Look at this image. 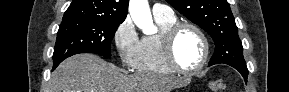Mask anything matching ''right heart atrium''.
<instances>
[{
	"label": "right heart atrium",
	"mask_w": 289,
	"mask_h": 92,
	"mask_svg": "<svg viewBox=\"0 0 289 92\" xmlns=\"http://www.w3.org/2000/svg\"><path fill=\"white\" fill-rule=\"evenodd\" d=\"M115 48L122 64L127 68H135L140 40L130 18L124 19L116 28L113 36Z\"/></svg>",
	"instance_id": "obj_1"
}]
</instances>
